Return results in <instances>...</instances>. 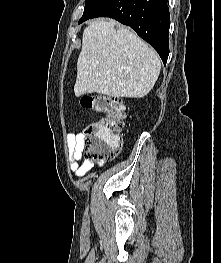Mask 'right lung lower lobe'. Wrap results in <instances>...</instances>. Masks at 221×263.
Segmentation results:
<instances>
[{
	"mask_svg": "<svg viewBox=\"0 0 221 263\" xmlns=\"http://www.w3.org/2000/svg\"><path fill=\"white\" fill-rule=\"evenodd\" d=\"M167 2L168 0H108L90 18L111 17L130 26L158 52L166 64L170 27Z\"/></svg>",
	"mask_w": 221,
	"mask_h": 263,
	"instance_id": "98d812e1",
	"label": "right lung lower lobe"
}]
</instances>
